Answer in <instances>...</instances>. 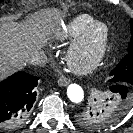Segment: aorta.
Returning <instances> with one entry per match:
<instances>
[{"label": "aorta", "mask_w": 133, "mask_h": 133, "mask_svg": "<svg viewBox=\"0 0 133 133\" xmlns=\"http://www.w3.org/2000/svg\"><path fill=\"white\" fill-rule=\"evenodd\" d=\"M67 96L73 103L79 104L84 99V91L78 84H70L67 87Z\"/></svg>", "instance_id": "762f6f07"}]
</instances>
